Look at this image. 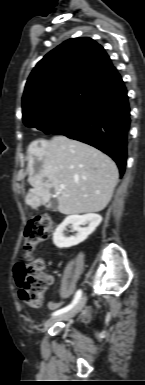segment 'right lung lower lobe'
<instances>
[{
	"instance_id": "1",
	"label": "right lung lower lobe",
	"mask_w": 145,
	"mask_h": 385,
	"mask_svg": "<svg viewBox=\"0 0 145 385\" xmlns=\"http://www.w3.org/2000/svg\"><path fill=\"white\" fill-rule=\"evenodd\" d=\"M130 107L122 78L97 90L87 104L52 134L65 135L109 155L124 174Z\"/></svg>"
}]
</instances>
